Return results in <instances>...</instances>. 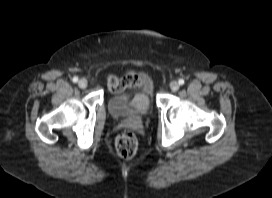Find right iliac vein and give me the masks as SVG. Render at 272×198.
<instances>
[{"label":"right iliac vein","mask_w":272,"mask_h":198,"mask_svg":"<svg viewBox=\"0 0 272 198\" xmlns=\"http://www.w3.org/2000/svg\"><path fill=\"white\" fill-rule=\"evenodd\" d=\"M87 84H88V83H87V80L84 79V78L80 79L79 82H78L79 87L82 88V89H83V88H86V87H87Z\"/></svg>","instance_id":"63e3f726"}]
</instances>
